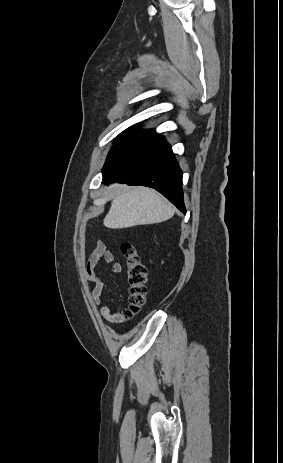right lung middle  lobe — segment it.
Segmentation results:
<instances>
[{
  "label": "right lung middle lobe",
  "mask_w": 283,
  "mask_h": 463,
  "mask_svg": "<svg viewBox=\"0 0 283 463\" xmlns=\"http://www.w3.org/2000/svg\"><path fill=\"white\" fill-rule=\"evenodd\" d=\"M138 130H139V125H138V124L129 127L128 129H126L125 131H123V132L117 137V139H116L115 142L120 141L121 139L127 137L128 135H130V134H132V133H134V132H136V131H138Z\"/></svg>",
  "instance_id": "obj_1"
}]
</instances>
